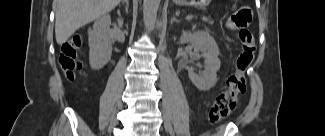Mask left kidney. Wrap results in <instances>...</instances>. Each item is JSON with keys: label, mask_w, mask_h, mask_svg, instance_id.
I'll list each match as a JSON object with an SVG mask.
<instances>
[{"label": "left kidney", "mask_w": 325, "mask_h": 136, "mask_svg": "<svg viewBox=\"0 0 325 136\" xmlns=\"http://www.w3.org/2000/svg\"><path fill=\"white\" fill-rule=\"evenodd\" d=\"M179 43H191L195 53H201V56L204 58V70L196 73L193 68H189L188 76L197 89L208 91L216 84L217 71L221 65V61L218 58L220 51L214 38L203 30L193 33L183 31Z\"/></svg>", "instance_id": "1"}]
</instances>
